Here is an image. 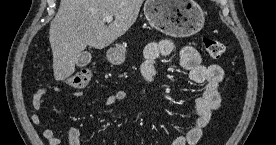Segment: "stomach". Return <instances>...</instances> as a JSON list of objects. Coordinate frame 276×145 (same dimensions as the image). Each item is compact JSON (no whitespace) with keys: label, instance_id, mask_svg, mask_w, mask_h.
Listing matches in <instances>:
<instances>
[{"label":"stomach","instance_id":"0dacf381","mask_svg":"<svg viewBox=\"0 0 276 145\" xmlns=\"http://www.w3.org/2000/svg\"><path fill=\"white\" fill-rule=\"evenodd\" d=\"M143 10L153 28L171 37L194 35L205 23L204 12L194 0H146ZM107 59L114 65L122 64L125 48H110Z\"/></svg>","mask_w":276,"mask_h":145}]
</instances>
